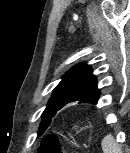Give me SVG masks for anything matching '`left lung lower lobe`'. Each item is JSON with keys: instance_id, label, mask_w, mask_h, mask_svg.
<instances>
[{"instance_id": "0a47b994", "label": "left lung lower lobe", "mask_w": 130, "mask_h": 153, "mask_svg": "<svg viewBox=\"0 0 130 153\" xmlns=\"http://www.w3.org/2000/svg\"><path fill=\"white\" fill-rule=\"evenodd\" d=\"M74 101H80V103H85V102H83V100H75V99L69 100L67 102L70 103V102H74ZM68 103H66V104H68Z\"/></svg>"}]
</instances>
